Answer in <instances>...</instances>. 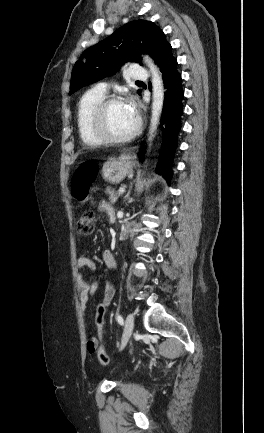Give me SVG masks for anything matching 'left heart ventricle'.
Listing matches in <instances>:
<instances>
[{
    "label": "left heart ventricle",
    "instance_id": "1",
    "mask_svg": "<svg viewBox=\"0 0 264 433\" xmlns=\"http://www.w3.org/2000/svg\"><path fill=\"white\" fill-rule=\"evenodd\" d=\"M106 128L114 136H123L129 133L137 122L127 103H118L110 106L106 112Z\"/></svg>",
    "mask_w": 264,
    "mask_h": 433
}]
</instances>
